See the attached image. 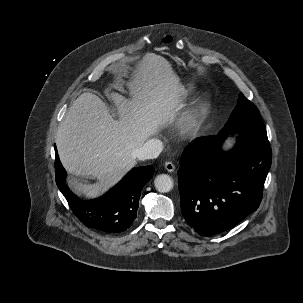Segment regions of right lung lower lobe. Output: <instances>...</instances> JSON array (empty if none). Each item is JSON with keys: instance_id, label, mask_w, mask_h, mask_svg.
<instances>
[{"instance_id": "98d812e1", "label": "right lung lower lobe", "mask_w": 303, "mask_h": 303, "mask_svg": "<svg viewBox=\"0 0 303 303\" xmlns=\"http://www.w3.org/2000/svg\"><path fill=\"white\" fill-rule=\"evenodd\" d=\"M56 183L76 217L87 227L107 233H120L131 227L144 185L152 178V166L133 168L104 196L82 200L66 185V171L55 151Z\"/></svg>"}]
</instances>
